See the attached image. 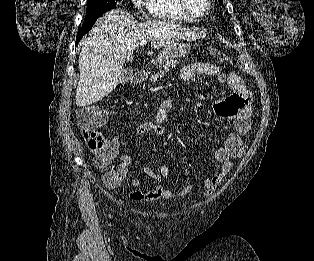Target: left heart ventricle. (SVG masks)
I'll list each match as a JSON object with an SVG mask.
<instances>
[{"label":"left heart ventricle","mask_w":314,"mask_h":261,"mask_svg":"<svg viewBox=\"0 0 314 261\" xmlns=\"http://www.w3.org/2000/svg\"><path fill=\"white\" fill-rule=\"evenodd\" d=\"M190 6L197 12H203L206 9V0H188Z\"/></svg>","instance_id":"1"}]
</instances>
